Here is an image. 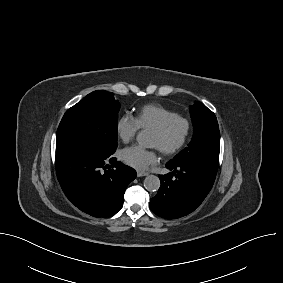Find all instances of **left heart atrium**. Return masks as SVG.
<instances>
[{
  "instance_id": "1",
  "label": "left heart atrium",
  "mask_w": 283,
  "mask_h": 283,
  "mask_svg": "<svg viewBox=\"0 0 283 283\" xmlns=\"http://www.w3.org/2000/svg\"><path fill=\"white\" fill-rule=\"evenodd\" d=\"M158 150L159 149L157 147H154V149L149 150L134 145L125 148L121 153V157L126 164L136 169H147L150 165H153L157 162Z\"/></svg>"
}]
</instances>
